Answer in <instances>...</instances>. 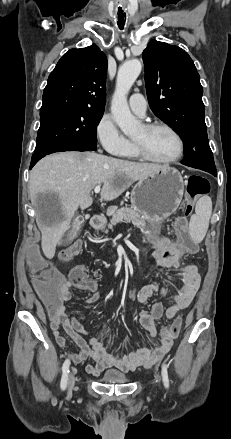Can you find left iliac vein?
Wrapping results in <instances>:
<instances>
[{"label":"left iliac vein","mask_w":231,"mask_h":439,"mask_svg":"<svg viewBox=\"0 0 231 439\" xmlns=\"http://www.w3.org/2000/svg\"><path fill=\"white\" fill-rule=\"evenodd\" d=\"M157 382H160V378L159 377L157 378Z\"/></svg>","instance_id":"left-iliac-vein-1"}]
</instances>
